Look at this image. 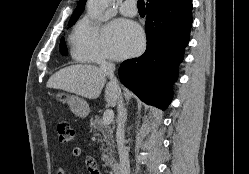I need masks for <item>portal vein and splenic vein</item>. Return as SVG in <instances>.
I'll use <instances>...</instances> for the list:
<instances>
[{"instance_id": "18ae733b", "label": "portal vein and splenic vein", "mask_w": 249, "mask_h": 174, "mask_svg": "<svg viewBox=\"0 0 249 174\" xmlns=\"http://www.w3.org/2000/svg\"><path fill=\"white\" fill-rule=\"evenodd\" d=\"M114 119V112L111 109H107L103 114L102 123L103 125H109Z\"/></svg>"}]
</instances>
